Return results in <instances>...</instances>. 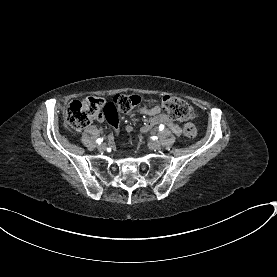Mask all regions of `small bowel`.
Returning <instances> with one entry per match:
<instances>
[{
	"instance_id": "small-bowel-1",
	"label": "small bowel",
	"mask_w": 277,
	"mask_h": 277,
	"mask_svg": "<svg viewBox=\"0 0 277 277\" xmlns=\"http://www.w3.org/2000/svg\"><path fill=\"white\" fill-rule=\"evenodd\" d=\"M138 113L150 117L148 126H154L157 124H164L170 128L175 134L180 135L182 133L181 127L175 123L169 116L162 113L158 106L154 107H140ZM128 131L131 129L129 126L126 128Z\"/></svg>"
}]
</instances>
